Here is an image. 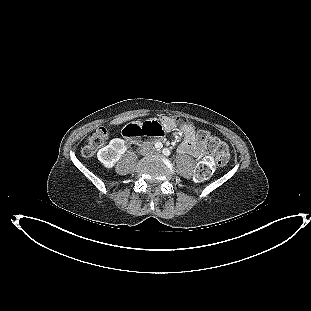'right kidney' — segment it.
<instances>
[{
	"label": "right kidney",
	"instance_id": "1",
	"mask_svg": "<svg viewBox=\"0 0 311 311\" xmlns=\"http://www.w3.org/2000/svg\"><path fill=\"white\" fill-rule=\"evenodd\" d=\"M126 150L125 141L115 138L110 141L109 145L98 151L97 158L104 167L112 168Z\"/></svg>",
	"mask_w": 311,
	"mask_h": 311
}]
</instances>
